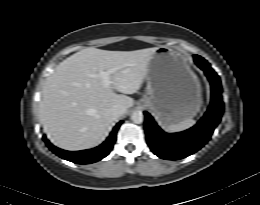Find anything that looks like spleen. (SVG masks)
Listing matches in <instances>:
<instances>
[{
    "instance_id": "1",
    "label": "spleen",
    "mask_w": 260,
    "mask_h": 205,
    "mask_svg": "<svg viewBox=\"0 0 260 205\" xmlns=\"http://www.w3.org/2000/svg\"><path fill=\"white\" fill-rule=\"evenodd\" d=\"M195 124V121L192 118L185 119L177 124H172L167 126V131L174 133L184 131L191 128Z\"/></svg>"
}]
</instances>
